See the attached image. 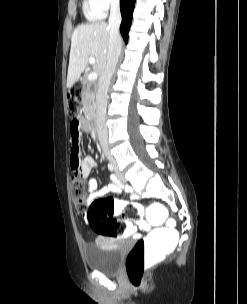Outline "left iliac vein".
Segmentation results:
<instances>
[{"instance_id":"left-iliac-vein-1","label":"left iliac vein","mask_w":247,"mask_h":304,"mask_svg":"<svg viewBox=\"0 0 247 304\" xmlns=\"http://www.w3.org/2000/svg\"><path fill=\"white\" fill-rule=\"evenodd\" d=\"M114 170H115V174H116V177L117 179L120 181V182H125L126 179L124 177V175L120 172L119 168H118V165L116 163H114Z\"/></svg>"}]
</instances>
